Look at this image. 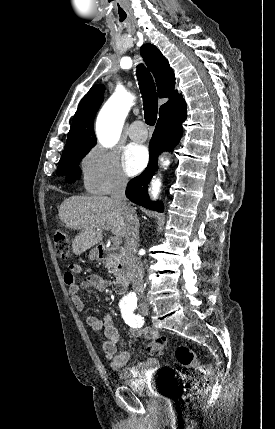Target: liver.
<instances>
[{
  "label": "liver",
  "mask_w": 275,
  "mask_h": 429,
  "mask_svg": "<svg viewBox=\"0 0 275 429\" xmlns=\"http://www.w3.org/2000/svg\"><path fill=\"white\" fill-rule=\"evenodd\" d=\"M59 218L67 228H82L72 241V250L80 255L103 239V226L120 238L125 236L126 223L122 211L106 196H71L59 208Z\"/></svg>",
  "instance_id": "obj_1"
}]
</instances>
